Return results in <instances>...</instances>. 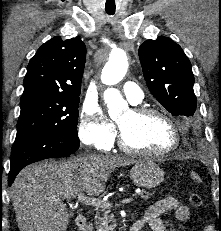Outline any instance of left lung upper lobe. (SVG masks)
<instances>
[{"label": "left lung upper lobe", "instance_id": "left-lung-upper-lobe-1", "mask_svg": "<svg viewBox=\"0 0 221 231\" xmlns=\"http://www.w3.org/2000/svg\"><path fill=\"white\" fill-rule=\"evenodd\" d=\"M144 78L153 96L173 115L192 116L197 99L191 63L182 48L160 36L139 47Z\"/></svg>", "mask_w": 221, "mask_h": 231}]
</instances>
